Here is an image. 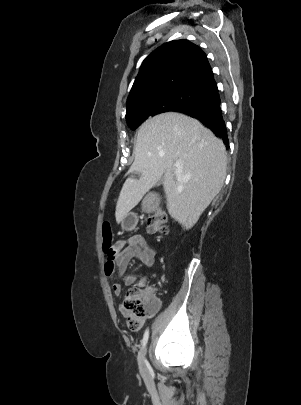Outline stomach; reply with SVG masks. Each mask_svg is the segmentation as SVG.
Listing matches in <instances>:
<instances>
[{"mask_svg":"<svg viewBox=\"0 0 301 405\" xmlns=\"http://www.w3.org/2000/svg\"><path fill=\"white\" fill-rule=\"evenodd\" d=\"M136 220H137V217H136L134 214L129 213V214H127V215L124 217V219L122 220V226L125 227V228H127V227H129L131 224L135 223Z\"/></svg>","mask_w":301,"mask_h":405,"instance_id":"stomach-1","label":"stomach"}]
</instances>
